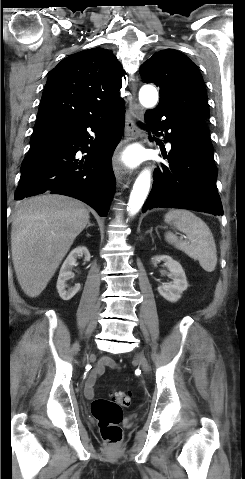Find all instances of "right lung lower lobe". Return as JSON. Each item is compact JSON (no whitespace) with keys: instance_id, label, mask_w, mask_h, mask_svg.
Returning a JSON list of instances; mask_svg holds the SVG:
<instances>
[{"instance_id":"right-lung-lower-lobe-1","label":"right lung lower lobe","mask_w":245,"mask_h":479,"mask_svg":"<svg viewBox=\"0 0 245 479\" xmlns=\"http://www.w3.org/2000/svg\"><path fill=\"white\" fill-rule=\"evenodd\" d=\"M125 108L54 125L31 137L15 199L44 192L90 205L105 217L115 189L111 165L122 137ZM87 128L95 133L93 139ZM79 151L87 153L80 157Z\"/></svg>"}]
</instances>
